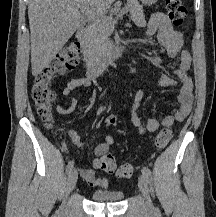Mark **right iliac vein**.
Here are the masks:
<instances>
[{
    "label": "right iliac vein",
    "mask_w": 216,
    "mask_h": 217,
    "mask_svg": "<svg viewBox=\"0 0 216 217\" xmlns=\"http://www.w3.org/2000/svg\"><path fill=\"white\" fill-rule=\"evenodd\" d=\"M77 178H78L77 171L75 169L71 170L67 180V193H70L74 189L77 182Z\"/></svg>",
    "instance_id": "right-iliac-vein-1"
}]
</instances>
